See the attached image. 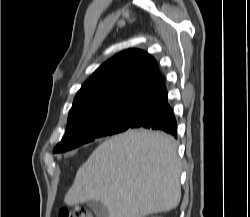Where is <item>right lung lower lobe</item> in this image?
<instances>
[{"mask_svg":"<svg viewBox=\"0 0 250 217\" xmlns=\"http://www.w3.org/2000/svg\"><path fill=\"white\" fill-rule=\"evenodd\" d=\"M166 87L144 98L138 107L130 128H147L164 131L177 138V122L168 104Z\"/></svg>","mask_w":250,"mask_h":217,"instance_id":"right-lung-lower-lobe-1","label":"right lung lower lobe"}]
</instances>
